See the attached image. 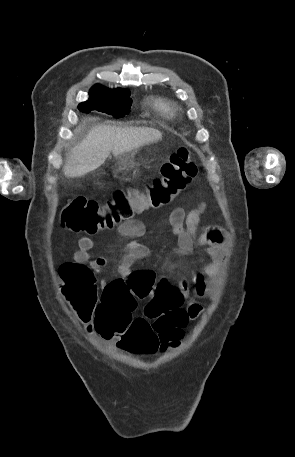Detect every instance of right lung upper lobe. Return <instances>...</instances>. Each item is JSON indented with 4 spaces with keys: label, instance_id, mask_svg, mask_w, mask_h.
Wrapping results in <instances>:
<instances>
[{
    "label": "right lung upper lobe",
    "instance_id": "obj_1",
    "mask_svg": "<svg viewBox=\"0 0 295 457\" xmlns=\"http://www.w3.org/2000/svg\"><path fill=\"white\" fill-rule=\"evenodd\" d=\"M117 90H122V89H115V90H110V89H107L101 85H95L91 88L90 91H108V92H114V91H117Z\"/></svg>",
    "mask_w": 295,
    "mask_h": 457
}]
</instances>
